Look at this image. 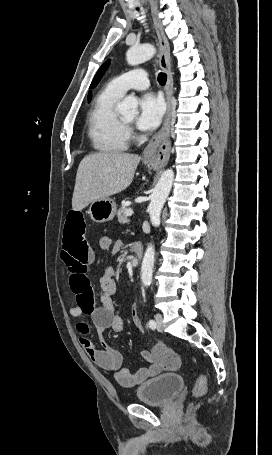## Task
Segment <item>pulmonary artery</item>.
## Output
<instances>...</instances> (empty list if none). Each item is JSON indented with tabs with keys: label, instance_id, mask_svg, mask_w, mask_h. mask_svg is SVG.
<instances>
[{
	"label": "pulmonary artery",
	"instance_id": "e3ab8cb5",
	"mask_svg": "<svg viewBox=\"0 0 272 455\" xmlns=\"http://www.w3.org/2000/svg\"><path fill=\"white\" fill-rule=\"evenodd\" d=\"M149 86V78L143 69H133L112 79L108 88L122 96L127 90H143Z\"/></svg>",
	"mask_w": 272,
	"mask_h": 455
}]
</instances>
